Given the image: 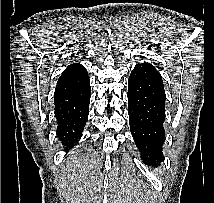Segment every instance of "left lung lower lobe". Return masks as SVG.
I'll list each match as a JSON object with an SVG mask.
<instances>
[{
	"mask_svg": "<svg viewBox=\"0 0 214 203\" xmlns=\"http://www.w3.org/2000/svg\"><path fill=\"white\" fill-rule=\"evenodd\" d=\"M128 114L133 139L143 163L163 161L165 91L160 73L149 63L137 64L128 80Z\"/></svg>",
	"mask_w": 214,
	"mask_h": 203,
	"instance_id": "left-lung-lower-lobe-1",
	"label": "left lung lower lobe"
}]
</instances>
